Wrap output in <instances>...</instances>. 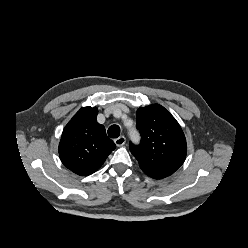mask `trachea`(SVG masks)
Instances as JSON below:
<instances>
[{"label": "trachea", "instance_id": "obj_1", "mask_svg": "<svg viewBox=\"0 0 248 248\" xmlns=\"http://www.w3.org/2000/svg\"><path fill=\"white\" fill-rule=\"evenodd\" d=\"M108 135L111 138H118L120 135V127L118 125H111L108 129Z\"/></svg>", "mask_w": 248, "mask_h": 248}]
</instances>
